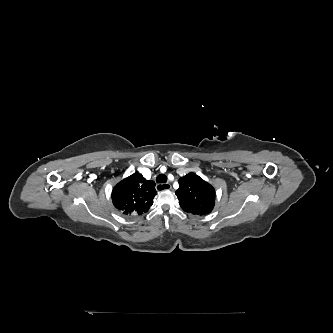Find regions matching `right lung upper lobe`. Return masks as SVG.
<instances>
[{"label":"right lung upper lobe","instance_id":"obj_1","mask_svg":"<svg viewBox=\"0 0 333 333\" xmlns=\"http://www.w3.org/2000/svg\"><path fill=\"white\" fill-rule=\"evenodd\" d=\"M155 183L147 181L139 172L120 181L112 191L115 208L124 215H140L153 204Z\"/></svg>","mask_w":333,"mask_h":333}]
</instances>
